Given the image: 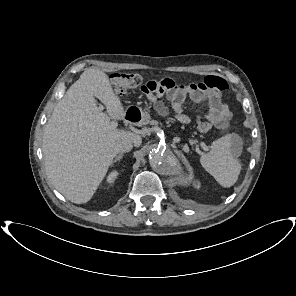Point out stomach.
I'll return each instance as SVG.
<instances>
[{
  "mask_svg": "<svg viewBox=\"0 0 296 296\" xmlns=\"http://www.w3.org/2000/svg\"><path fill=\"white\" fill-rule=\"evenodd\" d=\"M140 113V123H147L150 120V115L147 112L139 110Z\"/></svg>",
  "mask_w": 296,
  "mask_h": 296,
  "instance_id": "0dacf381",
  "label": "stomach"
}]
</instances>
